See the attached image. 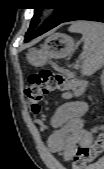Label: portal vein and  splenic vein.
I'll return each mask as SVG.
<instances>
[{
  "label": "portal vein and splenic vein",
  "instance_id": "18ae733b",
  "mask_svg": "<svg viewBox=\"0 0 104 169\" xmlns=\"http://www.w3.org/2000/svg\"><path fill=\"white\" fill-rule=\"evenodd\" d=\"M84 57H85L84 55H81V56L79 57V61H81Z\"/></svg>",
  "mask_w": 104,
  "mask_h": 169
}]
</instances>
